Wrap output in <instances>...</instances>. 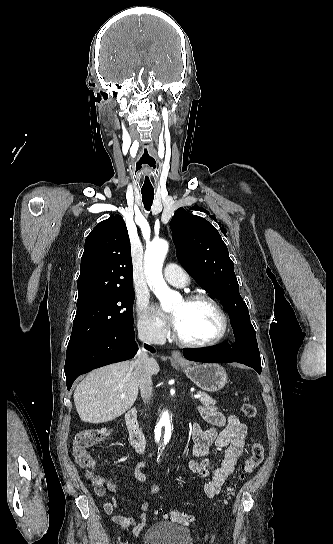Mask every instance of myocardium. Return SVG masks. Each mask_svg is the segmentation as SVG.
I'll use <instances>...</instances> for the list:
<instances>
[{
    "instance_id": "obj_1",
    "label": "myocardium",
    "mask_w": 333,
    "mask_h": 544,
    "mask_svg": "<svg viewBox=\"0 0 333 544\" xmlns=\"http://www.w3.org/2000/svg\"><path fill=\"white\" fill-rule=\"evenodd\" d=\"M186 303H196V302H200V301H206L208 303H210L217 311L219 317H220V321H221V327H220V330L218 332V334L210 339V340H207V341H204V342H193V341H189V340H186L184 339L183 337L180 336V334L177 332V330L175 329L174 330V339L182 346H185V347H189V348H207V347H211V346H214L216 344H218L219 342H221L227 332H228V328H229V319H228V315L223 307V305L221 304V302L216 299L215 297L209 295V294H206V293H195V294H191V295H188L185 300H184Z\"/></svg>"
}]
</instances>
